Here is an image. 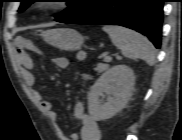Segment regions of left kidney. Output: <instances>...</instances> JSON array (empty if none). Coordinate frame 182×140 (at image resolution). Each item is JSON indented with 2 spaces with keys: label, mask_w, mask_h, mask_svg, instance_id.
Segmentation results:
<instances>
[{
  "label": "left kidney",
  "mask_w": 182,
  "mask_h": 140,
  "mask_svg": "<svg viewBox=\"0 0 182 140\" xmlns=\"http://www.w3.org/2000/svg\"><path fill=\"white\" fill-rule=\"evenodd\" d=\"M135 75L126 65H116L106 71L91 87L88 94V111L95 121L106 120L121 111L132 96ZM107 95V101L101 97Z\"/></svg>",
  "instance_id": "obj_1"
}]
</instances>
